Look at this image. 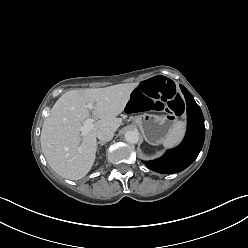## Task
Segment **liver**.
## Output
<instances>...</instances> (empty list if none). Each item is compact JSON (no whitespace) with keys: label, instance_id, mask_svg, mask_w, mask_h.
I'll return each mask as SVG.
<instances>
[{"label":"liver","instance_id":"liver-1","mask_svg":"<svg viewBox=\"0 0 248 248\" xmlns=\"http://www.w3.org/2000/svg\"><path fill=\"white\" fill-rule=\"evenodd\" d=\"M137 86L138 83H126L75 89L56 101L44 120L40 137L43 154L53 171L70 180H79L88 174L96 159L98 130L108 127L116 131L120 127L122 119L117 116ZM88 103L95 104L92 115L99 120L82 136L80 127L90 116Z\"/></svg>","mask_w":248,"mask_h":248}]
</instances>
